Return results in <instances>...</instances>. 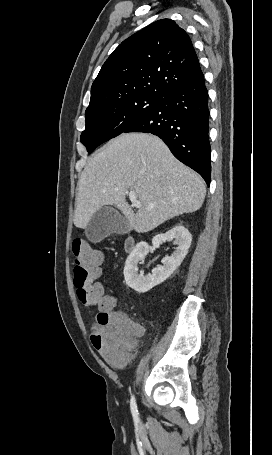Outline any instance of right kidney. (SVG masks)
Instances as JSON below:
<instances>
[{"mask_svg":"<svg viewBox=\"0 0 272 455\" xmlns=\"http://www.w3.org/2000/svg\"><path fill=\"white\" fill-rule=\"evenodd\" d=\"M174 241L177 246L170 256L162 259V266L153 269L152 274L144 276V272L138 273V263L142 262L148 253V243L139 242L128 256L124 267L126 284L138 293H145L153 287L164 282L180 266L188 253L192 242V236L188 229L177 225L164 234H158L152 239L154 247L166 241Z\"/></svg>","mask_w":272,"mask_h":455,"instance_id":"1","label":"right kidney"}]
</instances>
